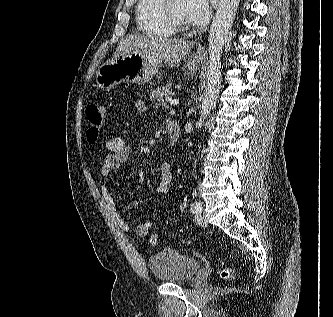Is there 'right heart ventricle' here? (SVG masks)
Returning <instances> with one entry per match:
<instances>
[{"instance_id": "obj_1", "label": "right heart ventricle", "mask_w": 333, "mask_h": 317, "mask_svg": "<svg viewBox=\"0 0 333 317\" xmlns=\"http://www.w3.org/2000/svg\"><path fill=\"white\" fill-rule=\"evenodd\" d=\"M160 0H138L136 24L138 30L151 37L168 38L174 32L164 23L160 13Z\"/></svg>"}]
</instances>
